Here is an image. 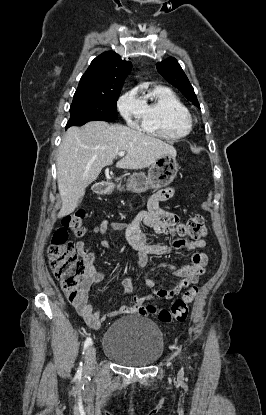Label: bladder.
<instances>
[{"mask_svg":"<svg viewBox=\"0 0 266 415\" xmlns=\"http://www.w3.org/2000/svg\"><path fill=\"white\" fill-rule=\"evenodd\" d=\"M103 352L113 361L126 366H148L164 352L160 328L142 316H131L113 322L103 339Z\"/></svg>","mask_w":266,"mask_h":415,"instance_id":"bladder-1","label":"bladder"}]
</instances>
